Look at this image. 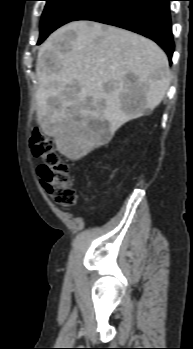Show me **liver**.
Listing matches in <instances>:
<instances>
[{"label":"liver","mask_w":193,"mask_h":349,"mask_svg":"<svg viewBox=\"0 0 193 349\" xmlns=\"http://www.w3.org/2000/svg\"><path fill=\"white\" fill-rule=\"evenodd\" d=\"M36 73L38 124L71 160L153 111L170 83L168 59L155 42L89 21L52 33L39 49Z\"/></svg>","instance_id":"1"}]
</instances>
